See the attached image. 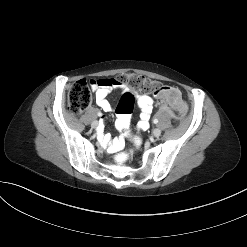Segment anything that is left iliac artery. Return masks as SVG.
Wrapping results in <instances>:
<instances>
[{
	"label": "left iliac artery",
	"instance_id": "1",
	"mask_svg": "<svg viewBox=\"0 0 247 247\" xmlns=\"http://www.w3.org/2000/svg\"><path fill=\"white\" fill-rule=\"evenodd\" d=\"M153 123H154V124H157V123H158V119H154V120H153Z\"/></svg>",
	"mask_w": 247,
	"mask_h": 247
}]
</instances>
